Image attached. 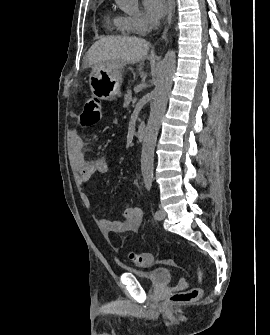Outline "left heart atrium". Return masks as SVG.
<instances>
[{"instance_id":"1","label":"left heart atrium","mask_w":270,"mask_h":335,"mask_svg":"<svg viewBox=\"0 0 270 335\" xmlns=\"http://www.w3.org/2000/svg\"><path fill=\"white\" fill-rule=\"evenodd\" d=\"M144 6L146 13L151 18L154 27H158L160 20L164 18L169 11V5L164 0H145Z\"/></svg>"}]
</instances>
